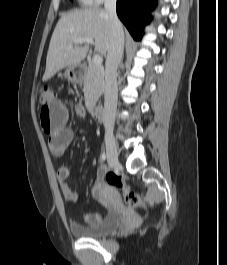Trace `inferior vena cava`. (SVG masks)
<instances>
[{
    "label": "inferior vena cava",
    "instance_id": "obj_1",
    "mask_svg": "<svg viewBox=\"0 0 227 265\" xmlns=\"http://www.w3.org/2000/svg\"><path fill=\"white\" fill-rule=\"evenodd\" d=\"M105 11L111 22V42L105 64L104 127L112 133L117 108V69L124 50V32L116 13V0H105Z\"/></svg>",
    "mask_w": 227,
    "mask_h": 265
}]
</instances>
